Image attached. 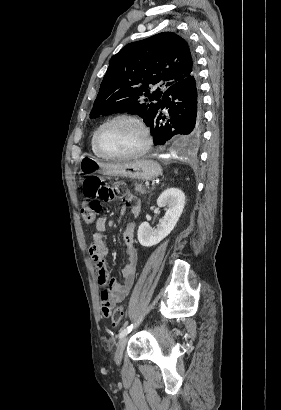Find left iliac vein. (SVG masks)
<instances>
[{
  "instance_id": "1",
  "label": "left iliac vein",
  "mask_w": 281,
  "mask_h": 410,
  "mask_svg": "<svg viewBox=\"0 0 281 410\" xmlns=\"http://www.w3.org/2000/svg\"><path fill=\"white\" fill-rule=\"evenodd\" d=\"M128 338L124 336L120 339L119 343L117 344L114 360L117 364H120L122 361L123 352L125 350Z\"/></svg>"
}]
</instances>
